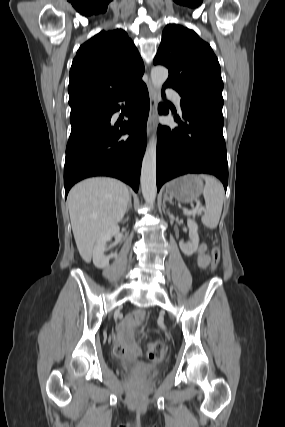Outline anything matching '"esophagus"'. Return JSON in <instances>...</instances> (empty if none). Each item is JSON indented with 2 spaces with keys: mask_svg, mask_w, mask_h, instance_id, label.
Instances as JSON below:
<instances>
[{
  "mask_svg": "<svg viewBox=\"0 0 285 427\" xmlns=\"http://www.w3.org/2000/svg\"><path fill=\"white\" fill-rule=\"evenodd\" d=\"M147 87L150 98V111L147 121V135L150 136L153 130L154 121L157 116V90L151 82H148Z\"/></svg>",
  "mask_w": 285,
  "mask_h": 427,
  "instance_id": "1",
  "label": "esophagus"
}]
</instances>
